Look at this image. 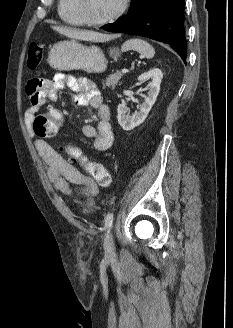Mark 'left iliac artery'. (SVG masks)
<instances>
[{"mask_svg":"<svg viewBox=\"0 0 233 328\" xmlns=\"http://www.w3.org/2000/svg\"><path fill=\"white\" fill-rule=\"evenodd\" d=\"M113 219H114V214L113 213H109L105 217V229L108 230V232H109L110 228L112 227Z\"/></svg>","mask_w":233,"mask_h":328,"instance_id":"obj_1","label":"left iliac artery"}]
</instances>
